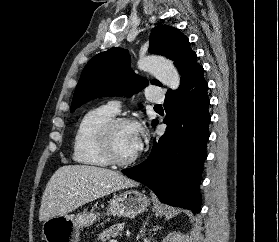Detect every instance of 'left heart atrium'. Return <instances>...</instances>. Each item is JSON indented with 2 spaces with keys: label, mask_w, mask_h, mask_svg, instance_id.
<instances>
[{
  "label": "left heart atrium",
  "mask_w": 279,
  "mask_h": 242,
  "mask_svg": "<svg viewBox=\"0 0 279 242\" xmlns=\"http://www.w3.org/2000/svg\"><path fill=\"white\" fill-rule=\"evenodd\" d=\"M144 130L141 127H137V139H136V148L137 151L141 149L144 139Z\"/></svg>",
  "instance_id": "39dd6f15"
}]
</instances>
